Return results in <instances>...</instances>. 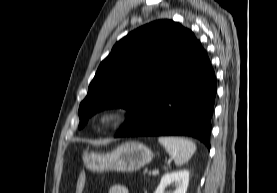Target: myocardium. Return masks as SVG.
I'll use <instances>...</instances> for the list:
<instances>
[{
	"label": "myocardium",
	"mask_w": 277,
	"mask_h": 193,
	"mask_svg": "<svg viewBox=\"0 0 277 193\" xmlns=\"http://www.w3.org/2000/svg\"><path fill=\"white\" fill-rule=\"evenodd\" d=\"M128 117L129 114L124 108L111 106L98 111L94 116V123L100 129L111 130L125 123Z\"/></svg>",
	"instance_id": "myocardium-1"
}]
</instances>
